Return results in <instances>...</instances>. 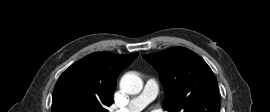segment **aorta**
I'll use <instances>...</instances> for the list:
<instances>
[{"label": "aorta", "mask_w": 270, "mask_h": 112, "mask_svg": "<svg viewBox=\"0 0 270 112\" xmlns=\"http://www.w3.org/2000/svg\"><path fill=\"white\" fill-rule=\"evenodd\" d=\"M120 88L129 95H136L141 92L143 81L135 73H126L120 80Z\"/></svg>", "instance_id": "aorta-1"}]
</instances>
